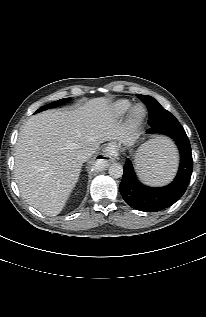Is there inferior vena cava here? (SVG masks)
Listing matches in <instances>:
<instances>
[{
    "label": "inferior vena cava",
    "mask_w": 206,
    "mask_h": 317,
    "mask_svg": "<svg viewBox=\"0 0 206 317\" xmlns=\"http://www.w3.org/2000/svg\"><path fill=\"white\" fill-rule=\"evenodd\" d=\"M94 152L91 149L80 150L77 154V159L81 162H85Z\"/></svg>",
    "instance_id": "602c4592"
}]
</instances>
